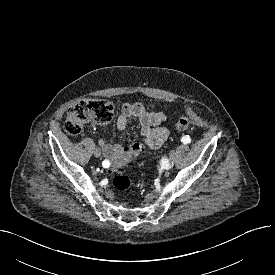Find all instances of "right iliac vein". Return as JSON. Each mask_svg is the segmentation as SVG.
I'll return each instance as SVG.
<instances>
[{"label": "right iliac vein", "mask_w": 275, "mask_h": 275, "mask_svg": "<svg viewBox=\"0 0 275 275\" xmlns=\"http://www.w3.org/2000/svg\"><path fill=\"white\" fill-rule=\"evenodd\" d=\"M93 153L97 158L101 156V150L99 148H95Z\"/></svg>", "instance_id": "obj_1"}]
</instances>
